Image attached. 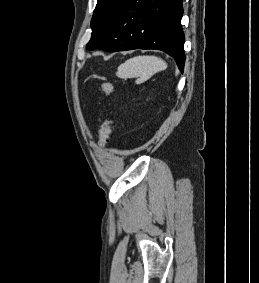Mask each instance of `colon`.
Listing matches in <instances>:
<instances>
[{
  "label": "colon",
  "instance_id": "obj_1",
  "mask_svg": "<svg viewBox=\"0 0 259 283\" xmlns=\"http://www.w3.org/2000/svg\"><path fill=\"white\" fill-rule=\"evenodd\" d=\"M100 88L104 92V94L108 97L111 96L114 92L113 84L108 81H103L100 85ZM113 128H114L113 119L111 117H107L100 130L99 142L101 145L108 144Z\"/></svg>",
  "mask_w": 259,
  "mask_h": 283
}]
</instances>
